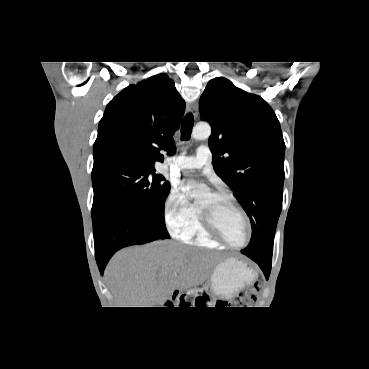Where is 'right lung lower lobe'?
<instances>
[{
	"label": "right lung lower lobe",
	"instance_id": "98d812e1",
	"mask_svg": "<svg viewBox=\"0 0 369 369\" xmlns=\"http://www.w3.org/2000/svg\"><path fill=\"white\" fill-rule=\"evenodd\" d=\"M93 230L95 257L101 274L108 260L119 249L165 239L154 231L147 218L126 208L110 210Z\"/></svg>",
	"mask_w": 369,
	"mask_h": 369
}]
</instances>
